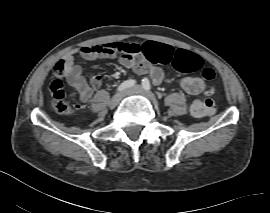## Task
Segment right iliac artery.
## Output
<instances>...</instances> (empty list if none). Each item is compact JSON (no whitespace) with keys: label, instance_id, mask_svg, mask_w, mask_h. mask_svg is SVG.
Instances as JSON below:
<instances>
[{"label":"right iliac artery","instance_id":"82829eb1","mask_svg":"<svg viewBox=\"0 0 270 213\" xmlns=\"http://www.w3.org/2000/svg\"><path fill=\"white\" fill-rule=\"evenodd\" d=\"M135 83H136V81L133 79L126 80L117 88V91L122 92L125 89L133 87L135 85Z\"/></svg>","mask_w":270,"mask_h":213}]
</instances>
